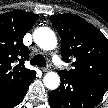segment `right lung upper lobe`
<instances>
[{"instance_id":"cb5924a9","label":"right lung upper lobe","mask_w":108,"mask_h":108,"mask_svg":"<svg viewBox=\"0 0 108 108\" xmlns=\"http://www.w3.org/2000/svg\"><path fill=\"white\" fill-rule=\"evenodd\" d=\"M38 17L18 10L0 15V92L17 88L35 74L24 66L29 52L23 37Z\"/></svg>"}]
</instances>
